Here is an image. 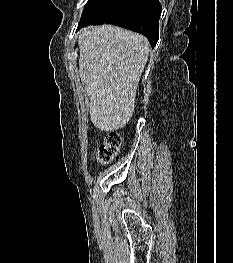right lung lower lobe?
Returning <instances> with one entry per match:
<instances>
[{"label": "right lung lower lobe", "mask_w": 233, "mask_h": 263, "mask_svg": "<svg viewBox=\"0 0 233 263\" xmlns=\"http://www.w3.org/2000/svg\"><path fill=\"white\" fill-rule=\"evenodd\" d=\"M160 14L159 0H127L108 20L104 22L80 21L79 28L104 23L114 24L143 34L154 48L159 39Z\"/></svg>", "instance_id": "right-lung-lower-lobe-1"}]
</instances>
